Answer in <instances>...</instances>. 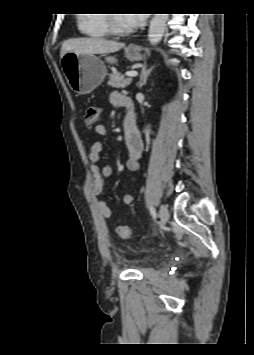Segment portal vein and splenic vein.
Masks as SVG:
<instances>
[{
	"label": "portal vein and splenic vein",
	"mask_w": 254,
	"mask_h": 355,
	"mask_svg": "<svg viewBox=\"0 0 254 355\" xmlns=\"http://www.w3.org/2000/svg\"><path fill=\"white\" fill-rule=\"evenodd\" d=\"M138 73L136 71L126 72V76L129 78L136 77Z\"/></svg>",
	"instance_id": "1"
}]
</instances>
